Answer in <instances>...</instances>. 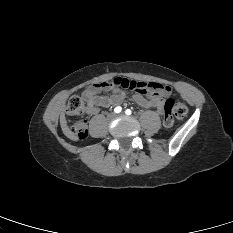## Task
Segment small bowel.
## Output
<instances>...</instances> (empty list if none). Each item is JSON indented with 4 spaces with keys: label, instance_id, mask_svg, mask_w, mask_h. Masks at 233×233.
Listing matches in <instances>:
<instances>
[{
    "label": "small bowel",
    "instance_id": "c3829d8e",
    "mask_svg": "<svg viewBox=\"0 0 233 233\" xmlns=\"http://www.w3.org/2000/svg\"><path fill=\"white\" fill-rule=\"evenodd\" d=\"M141 83L146 86H157L158 89L156 91L145 92L135 91V93L131 95L132 100L143 108H154L158 113H161L163 110V99L170 94V89L154 82ZM82 96L87 103V112L90 115H96L101 108L121 104L126 98V93L120 86H108L107 83H101L87 88Z\"/></svg>",
    "mask_w": 233,
    "mask_h": 233
}]
</instances>
